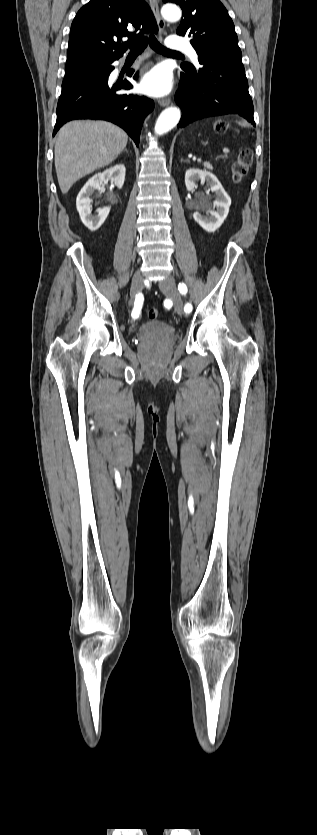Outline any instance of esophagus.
Wrapping results in <instances>:
<instances>
[{
  "instance_id": "esophagus-1",
  "label": "esophagus",
  "mask_w": 317,
  "mask_h": 835,
  "mask_svg": "<svg viewBox=\"0 0 317 835\" xmlns=\"http://www.w3.org/2000/svg\"><path fill=\"white\" fill-rule=\"evenodd\" d=\"M149 2H150V5H151L152 12H153V14L155 16V19L157 21V25L159 27V30L163 31L164 28H165V21L162 19L161 15H160V12H159V2H158V0H149ZM159 104H160V106H163V107L169 106L171 104V99L170 98L161 99V100H159Z\"/></svg>"
}]
</instances>
